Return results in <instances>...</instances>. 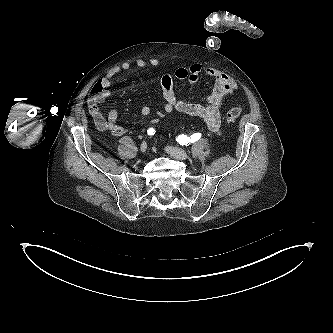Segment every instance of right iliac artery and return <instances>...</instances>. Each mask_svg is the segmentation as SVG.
<instances>
[{
  "mask_svg": "<svg viewBox=\"0 0 333 333\" xmlns=\"http://www.w3.org/2000/svg\"><path fill=\"white\" fill-rule=\"evenodd\" d=\"M147 133H148V135L152 136V135L155 134V129H154V128H149V129L147 130Z\"/></svg>",
  "mask_w": 333,
  "mask_h": 333,
  "instance_id": "obj_1",
  "label": "right iliac artery"
}]
</instances>
